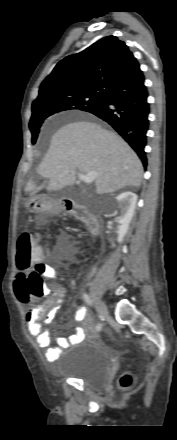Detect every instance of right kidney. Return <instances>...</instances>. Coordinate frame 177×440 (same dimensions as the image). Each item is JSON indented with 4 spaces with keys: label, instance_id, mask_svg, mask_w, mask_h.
I'll list each match as a JSON object with an SVG mask.
<instances>
[{
    "label": "right kidney",
    "instance_id": "ca27d5eb",
    "mask_svg": "<svg viewBox=\"0 0 177 440\" xmlns=\"http://www.w3.org/2000/svg\"><path fill=\"white\" fill-rule=\"evenodd\" d=\"M137 203V195L131 191L121 193L115 198L114 215L117 214V209L120 210V216L116 218V221L120 224L117 230L118 242H122L124 236L127 234L129 224L134 215V211ZM113 246H115L113 244Z\"/></svg>",
    "mask_w": 177,
    "mask_h": 440
}]
</instances>
